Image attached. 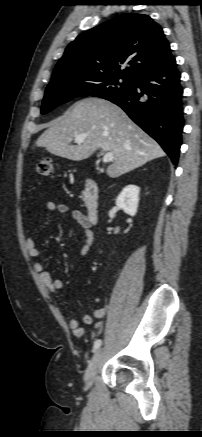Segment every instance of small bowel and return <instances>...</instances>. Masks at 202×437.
Returning <instances> with one entry per match:
<instances>
[{
	"mask_svg": "<svg viewBox=\"0 0 202 437\" xmlns=\"http://www.w3.org/2000/svg\"><path fill=\"white\" fill-rule=\"evenodd\" d=\"M46 206L47 209L51 212H56L59 214L69 213L71 219L83 228L86 239L84 245L81 248V254L86 255L90 251L94 240L92 225L89 222L87 216L79 210L70 209L65 204H57L53 201L47 202ZM26 249L29 256L32 258H38L41 256V250L36 246V240L34 236H30L26 240ZM33 269L38 274L39 280L47 287L50 292L57 293L63 288L62 280L52 278L50 273L44 269V264L41 261H34ZM106 313L107 310L105 308H96L92 312V314H85L82 318V322L86 325H90L94 319H103L106 316ZM67 323L75 336L81 338L85 335V331L80 326L77 318L69 317ZM102 327V322L96 324V330H100Z\"/></svg>",
	"mask_w": 202,
	"mask_h": 437,
	"instance_id": "obj_1",
	"label": "small bowel"
}]
</instances>
